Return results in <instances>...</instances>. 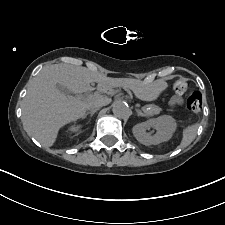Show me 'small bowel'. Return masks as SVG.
<instances>
[{
    "mask_svg": "<svg viewBox=\"0 0 225 225\" xmlns=\"http://www.w3.org/2000/svg\"><path fill=\"white\" fill-rule=\"evenodd\" d=\"M171 104L174 106H179L182 104V99L180 97H173L171 99Z\"/></svg>",
    "mask_w": 225,
    "mask_h": 225,
    "instance_id": "small-bowel-1",
    "label": "small bowel"
}]
</instances>
